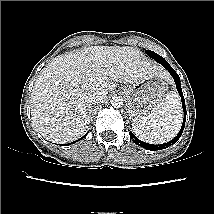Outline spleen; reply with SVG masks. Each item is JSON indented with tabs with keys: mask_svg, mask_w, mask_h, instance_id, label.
Listing matches in <instances>:
<instances>
[{
	"mask_svg": "<svg viewBox=\"0 0 214 214\" xmlns=\"http://www.w3.org/2000/svg\"><path fill=\"white\" fill-rule=\"evenodd\" d=\"M182 107L176 92H168L162 102L143 116L132 121L135 135L148 143L160 144L174 138L182 124Z\"/></svg>",
	"mask_w": 214,
	"mask_h": 214,
	"instance_id": "obj_1",
	"label": "spleen"
}]
</instances>
